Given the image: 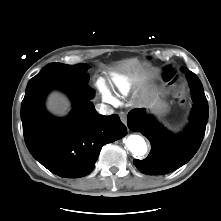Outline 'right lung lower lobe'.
I'll return each instance as SVG.
<instances>
[{"label": "right lung lower lobe", "mask_w": 221, "mask_h": 221, "mask_svg": "<svg viewBox=\"0 0 221 221\" xmlns=\"http://www.w3.org/2000/svg\"><path fill=\"white\" fill-rule=\"evenodd\" d=\"M61 89L73 102L64 119L51 116L44 99L51 89ZM94 91L85 84H70L46 78H32L21 105L25 143L32 156L61 177L89 174L101 148L127 134L118 115H100L90 99Z\"/></svg>", "instance_id": "98d812e1"}]
</instances>
